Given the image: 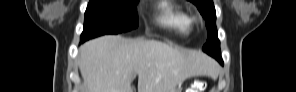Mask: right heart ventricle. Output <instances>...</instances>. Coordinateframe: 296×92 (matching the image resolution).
Masks as SVG:
<instances>
[{
  "label": "right heart ventricle",
  "mask_w": 296,
  "mask_h": 92,
  "mask_svg": "<svg viewBox=\"0 0 296 92\" xmlns=\"http://www.w3.org/2000/svg\"><path fill=\"white\" fill-rule=\"evenodd\" d=\"M158 22L160 25L180 34H187L192 28L189 13L182 6L171 2H162L160 4Z\"/></svg>",
  "instance_id": "1"
}]
</instances>
